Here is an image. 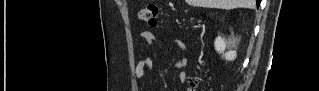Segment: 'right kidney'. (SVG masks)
<instances>
[{"instance_id":"right-kidney-1","label":"right kidney","mask_w":319,"mask_h":91,"mask_svg":"<svg viewBox=\"0 0 319 91\" xmlns=\"http://www.w3.org/2000/svg\"><path fill=\"white\" fill-rule=\"evenodd\" d=\"M235 39H228L222 38L221 36H218L215 39L214 46L215 50L222 54V57L225 58L227 61H233L237 57V52L233 50ZM226 49L228 51L226 52Z\"/></svg>"}]
</instances>
